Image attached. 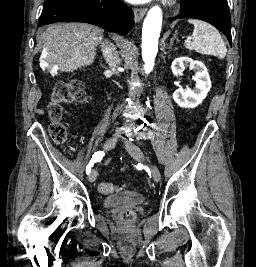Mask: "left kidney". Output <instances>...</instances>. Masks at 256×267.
<instances>
[{
    "mask_svg": "<svg viewBox=\"0 0 256 267\" xmlns=\"http://www.w3.org/2000/svg\"><path fill=\"white\" fill-rule=\"evenodd\" d=\"M185 68H190L195 72L193 76L195 84L194 90H183L178 88L173 94V100L180 106V108H196L205 100L210 88L211 80L209 78L208 70L199 60H192V58H175L171 64V70L174 76H183Z\"/></svg>",
    "mask_w": 256,
    "mask_h": 267,
    "instance_id": "left-kidney-1",
    "label": "left kidney"
}]
</instances>
